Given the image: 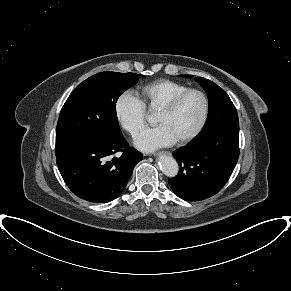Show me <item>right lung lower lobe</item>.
Returning <instances> with one entry per match:
<instances>
[{"mask_svg":"<svg viewBox=\"0 0 291 291\" xmlns=\"http://www.w3.org/2000/svg\"><path fill=\"white\" fill-rule=\"evenodd\" d=\"M118 152L121 155L113 157ZM142 156L121 135L106 142L76 146L58 157L57 165L76 196L89 202L106 203L123 192Z\"/></svg>","mask_w":291,"mask_h":291,"instance_id":"right-lung-lower-lobe-1","label":"right lung lower lobe"}]
</instances>
